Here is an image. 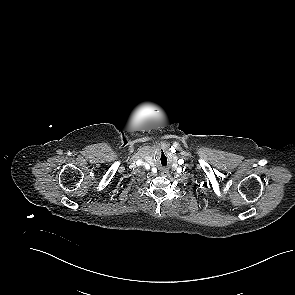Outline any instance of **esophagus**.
Returning a JSON list of instances; mask_svg holds the SVG:
<instances>
[{
  "label": "esophagus",
  "instance_id": "34e87169",
  "mask_svg": "<svg viewBox=\"0 0 295 295\" xmlns=\"http://www.w3.org/2000/svg\"><path fill=\"white\" fill-rule=\"evenodd\" d=\"M162 174L166 175V174H168V171L167 170H163L162 171Z\"/></svg>",
  "mask_w": 295,
  "mask_h": 295
}]
</instances>
